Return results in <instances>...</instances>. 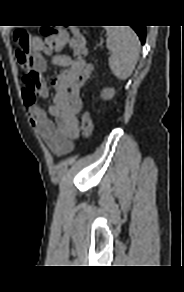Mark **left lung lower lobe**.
<instances>
[{"instance_id":"1","label":"left lung lower lobe","mask_w":184,"mask_h":292,"mask_svg":"<svg viewBox=\"0 0 184 292\" xmlns=\"http://www.w3.org/2000/svg\"><path fill=\"white\" fill-rule=\"evenodd\" d=\"M138 34L141 43L144 44L146 38V27L145 26H131Z\"/></svg>"}]
</instances>
